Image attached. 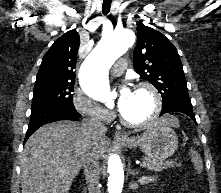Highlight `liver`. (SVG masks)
I'll use <instances>...</instances> for the list:
<instances>
[{
  "mask_svg": "<svg viewBox=\"0 0 221 193\" xmlns=\"http://www.w3.org/2000/svg\"><path fill=\"white\" fill-rule=\"evenodd\" d=\"M160 121L179 126L172 116ZM89 145V135L79 123L59 121L40 127L27 140L21 155L22 193H68ZM94 149L99 158L104 155L105 136L97 140Z\"/></svg>",
  "mask_w": 221,
  "mask_h": 193,
  "instance_id": "6515ba94",
  "label": "liver"
}]
</instances>
